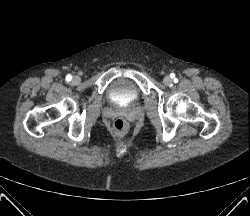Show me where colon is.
<instances>
[{"instance_id":"1","label":"colon","mask_w":250,"mask_h":216,"mask_svg":"<svg viewBox=\"0 0 250 216\" xmlns=\"http://www.w3.org/2000/svg\"><path fill=\"white\" fill-rule=\"evenodd\" d=\"M113 130L119 137H123L127 133L128 124L124 119L118 118L113 123Z\"/></svg>"}]
</instances>
